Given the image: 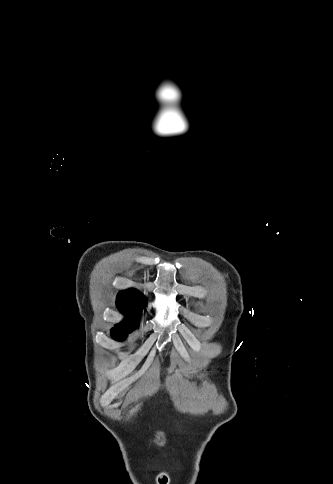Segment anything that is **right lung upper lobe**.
Wrapping results in <instances>:
<instances>
[{
    "instance_id": "1",
    "label": "right lung upper lobe",
    "mask_w": 333,
    "mask_h": 484,
    "mask_svg": "<svg viewBox=\"0 0 333 484\" xmlns=\"http://www.w3.org/2000/svg\"><path fill=\"white\" fill-rule=\"evenodd\" d=\"M145 305L146 299L144 295L137 290L129 289L120 292L117 297V307L123 314L128 317L119 325L136 326L138 318L134 315V312L142 311Z\"/></svg>"
}]
</instances>
